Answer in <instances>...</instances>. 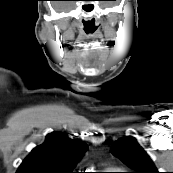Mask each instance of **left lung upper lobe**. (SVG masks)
<instances>
[{"label":"left lung upper lobe","instance_id":"left-lung-upper-lobe-1","mask_svg":"<svg viewBox=\"0 0 173 173\" xmlns=\"http://www.w3.org/2000/svg\"><path fill=\"white\" fill-rule=\"evenodd\" d=\"M111 152L133 169V173H159L148 154L132 136L116 141Z\"/></svg>","mask_w":173,"mask_h":173}]
</instances>
